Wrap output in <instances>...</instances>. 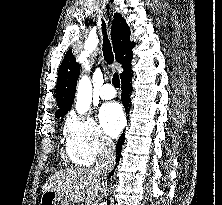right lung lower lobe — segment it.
I'll list each match as a JSON object with an SVG mask.
<instances>
[{
  "label": "right lung lower lobe",
  "instance_id": "1",
  "mask_svg": "<svg viewBox=\"0 0 222 205\" xmlns=\"http://www.w3.org/2000/svg\"><path fill=\"white\" fill-rule=\"evenodd\" d=\"M132 73L133 72L127 74L126 76H124L121 79V83H122L121 101H122V104L124 105L126 114L129 113L130 106H131V102H130V99H129V94L132 91V85L130 83ZM123 143H124V131H123V134L118 139V142H117V145H116V160H117V162L120 160ZM110 175H113V171L110 173Z\"/></svg>",
  "mask_w": 222,
  "mask_h": 205
}]
</instances>
